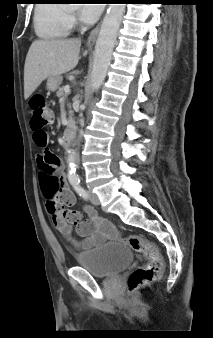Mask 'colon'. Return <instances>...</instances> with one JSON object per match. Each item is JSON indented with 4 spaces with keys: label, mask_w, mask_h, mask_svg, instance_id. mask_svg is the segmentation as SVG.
<instances>
[{
    "label": "colon",
    "mask_w": 213,
    "mask_h": 338,
    "mask_svg": "<svg viewBox=\"0 0 213 338\" xmlns=\"http://www.w3.org/2000/svg\"><path fill=\"white\" fill-rule=\"evenodd\" d=\"M30 108L32 111L31 127L33 129L34 143L36 146L44 148L49 142V135L44 130V127L52 124V112L47 107L45 99L40 95L34 96L30 100ZM38 167L40 174L46 179V192L49 195H53L57 189L58 181L55 177L56 168H53L50 165V159L47 154L40 156ZM46 207L53 220L59 210V203L54 199L49 198L46 203ZM66 218L74 224L78 221V217L73 211H69L66 214ZM124 241L131 247L132 250L140 253L145 259V263L129 276V290L134 291L140 289L159 279L163 263L162 257L156 245L139 235L127 236Z\"/></svg>",
    "instance_id": "1"
}]
</instances>
